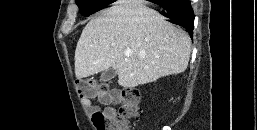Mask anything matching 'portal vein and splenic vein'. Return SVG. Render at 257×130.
Listing matches in <instances>:
<instances>
[{
  "label": "portal vein and splenic vein",
  "instance_id": "portal-vein-and-splenic-vein-1",
  "mask_svg": "<svg viewBox=\"0 0 257 130\" xmlns=\"http://www.w3.org/2000/svg\"><path fill=\"white\" fill-rule=\"evenodd\" d=\"M125 56H126V57H129V56H130V53H125Z\"/></svg>",
  "mask_w": 257,
  "mask_h": 130
}]
</instances>
